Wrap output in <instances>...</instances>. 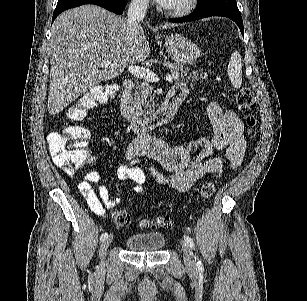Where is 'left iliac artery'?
<instances>
[{"mask_svg": "<svg viewBox=\"0 0 307 301\" xmlns=\"http://www.w3.org/2000/svg\"><path fill=\"white\" fill-rule=\"evenodd\" d=\"M185 241L192 249H195V243L191 237L185 236ZM197 268L203 270V265L200 260L197 261Z\"/></svg>", "mask_w": 307, "mask_h": 301, "instance_id": "obj_1", "label": "left iliac artery"}]
</instances>
